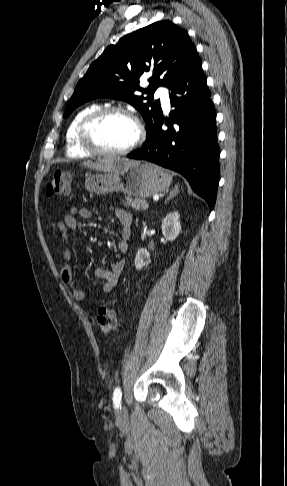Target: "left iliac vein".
<instances>
[{"mask_svg":"<svg viewBox=\"0 0 287 486\" xmlns=\"http://www.w3.org/2000/svg\"><path fill=\"white\" fill-rule=\"evenodd\" d=\"M117 416L119 418H123L125 415H126V409L124 406H120L118 409H117Z\"/></svg>","mask_w":287,"mask_h":486,"instance_id":"4c4485c4","label":"left iliac vein"}]
</instances>
